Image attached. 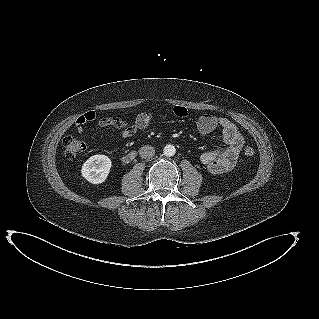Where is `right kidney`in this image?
I'll return each mask as SVG.
<instances>
[{"mask_svg": "<svg viewBox=\"0 0 319 319\" xmlns=\"http://www.w3.org/2000/svg\"><path fill=\"white\" fill-rule=\"evenodd\" d=\"M112 162L105 155L91 156L82 166V176L92 184L103 183L110 173Z\"/></svg>", "mask_w": 319, "mask_h": 319, "instance_id": "ca27d5eb", "label": "right kidney"}]
</instances>
